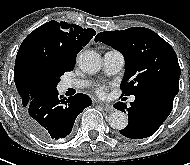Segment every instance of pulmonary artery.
I'll return each mask as SVG.
<instances>
[{
    "instance_id": "1",
    "label": "pulmonary artery",
    "mask_w": 190,
    "mask_h": 165,
    "mask_svg": "<svg viewBox=\"0 0 190 165\" xmlns=\"http://www.w3.org/2000/svg\"><path fill=\"white\" fill-rule=\"evenodd\" d=\"M124 56L117 50H109L103 55V70L108 75L118 73L124 66ZM86 79H68L64 82L65 88L83 89L89 85ZM130 102L135 100V96L130 97Z\"/></svg>"
}]
</instances>
